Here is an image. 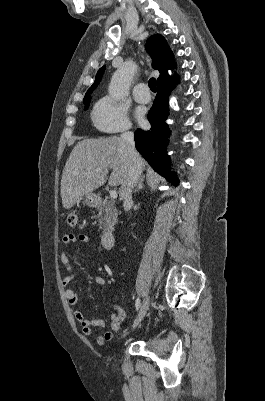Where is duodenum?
I'll use <instances>...</instances> for the list:
<instances>
[{
    "instance_id": "obj_1",
    "label": "duodenum",
    "mask_w": 265,
    "mask_h": 401,
    "mask_svg": "<svg viewBox=\"0 0 265 401\" xmlns=\"http://www.w3.org/2000/svg\"><path fill=\"white\" fill-rule=\"evenodd\" d=\"M115 243V235L111 231L104 232L101 237V244L105 249H111Z\"/></svg>"
}]
</instances>
